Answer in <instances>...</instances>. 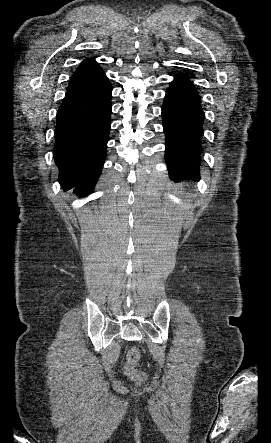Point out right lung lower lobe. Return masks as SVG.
<instances>
[{
	"label": "right lung lower lobe",
	"instance_id": "right-lung-lower-lobe-1",
	"mask_svg": "<svg viewBox=\"0 0 271 443\" xmlns=\"http://www.w3.org/2000/svg\"><path fill=\"white\" fill-rule=\"evenodd\" d=\"M112 86L104 80L69 86L57 112L54 159L58 181L87 196L101 173L111 117Z\"/></svg>",
	"mask_w": 271,
	"mask_h": 443
}]
</instances>
